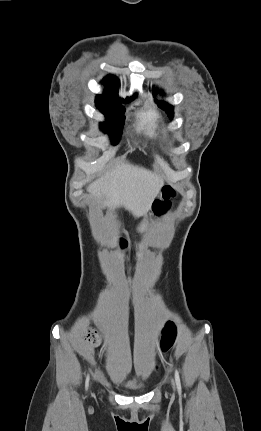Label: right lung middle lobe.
<instances>
[{
    "label": "right lung middle lobe",
    "instance_id": "obj_1",
    "mask_svg": "<svg viewBox=\"0 0 261 431\" xmlns=\"http://www.w3.org/2000/svg\"><path fill=\"white\" fill-rule=\"evenodd\" d=\"M96 107L105 115L107 118L106 122L100 123V128L105 133L112 135L111 140L113 144L119 142L125 111L124 107L120 103H126L129 101L120 100L114 96L103 94L96 97Z\"/></svg>",
    "mask_w": 261,
    "mask_h": 431
}]
</instances>
